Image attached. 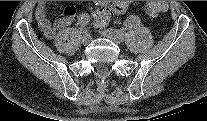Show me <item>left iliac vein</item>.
Wrapping results in <instances>:
<instances>
[{
    "instance_id": "4c4485c4",
    "label": "left iliac vein",
    "mask_w": 207,
    "mask_h": 121,
    "mask_svg": "<svg viewBox=\"0 0 207 121\" xmlns=\"http://www.w3.org/2000/svg\"><path fill=\"white\" fill-rule=\"evenodd\" d=\"M104 37L111 39L116 44H120L124 40V36L121 31L115 29H106L101 33Z\"/></svg>"
}]
</instances>
